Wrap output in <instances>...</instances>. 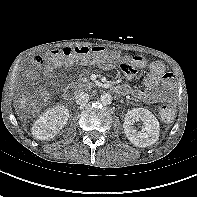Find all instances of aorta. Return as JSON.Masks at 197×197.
<instances>
[{"label": "aorta", "mask_w": 197, "mask_h": 197, "mask_svg": "<svg viewBox=\"0 0 197 197\" xmlns=\"http://www.w3.org/2000/svg\"><path fill=\"white\" fill-rule=\"evenodd\" d=\"M100 101L104 105H109L112 102V96L110 93H103L100 97Z\"/></svg>", "instance_id": "aorta-1"}]
</instances>
